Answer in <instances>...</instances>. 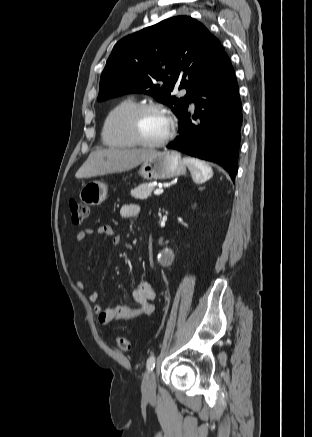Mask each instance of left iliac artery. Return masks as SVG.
<instances>
[{"label": "left iliac artery", "instance_id": "1", "mask_svg": "<svg viewBox=\"0 0 312 437\" xmlns=\"http://www.w3.org/2000/svg\"><path fill=\"white\" fill-rule=\"evenodd\" d=\"M146 366H147L148 371H152L154 369V367H155V356L154 355H151L148 358Z\"/></svg>", "mask_w": 312, "mask_h": 437}]
</instances>
